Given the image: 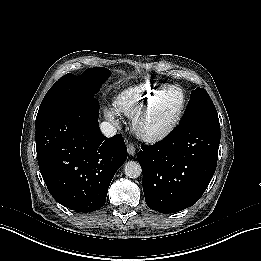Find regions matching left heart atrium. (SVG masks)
<instances>
[{"label": "left heart atrium", "mask_w": 261, "mask_h": 261, "mask_svg": "<svg viewBox=\"0 0 261 261\" xmlns=\"http://www.w3.org/2000/svg\"><path fill=\"white\" fill-rule=\"evenodd\" d=\"M161 128H152L149 126H139L138 129V135L141 139H143L146 142H152L156 139V137L161 134Z\"/></svg>", "instance_id": "obj_1"}]
</instances>
